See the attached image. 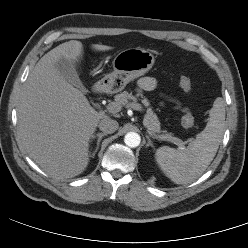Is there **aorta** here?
Segmentation results:
<instances>
[{
    "mask_svg": "<svg viewBox=\"0 0 248 248\" xmlns=\"http://www.w3.org/2000/svg\"><path fill=\"white\" fill-rule=\"evenodd\" d=\"M124 142L128 147L135 148L139 146L141 138L140 135L136 132H128L125 135Z\"/></svg>",
    "mask_w": 248,
    "mask_h": 248,
    "instance_id": "1",
    "label": "aorta"
}]
</instances>
